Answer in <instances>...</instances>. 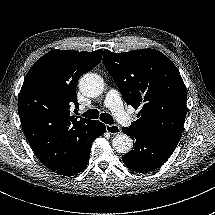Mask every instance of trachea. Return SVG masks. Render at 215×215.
Segmentation results:
<instances>
[{"label":"trachea","instance_id":"1","mask_svg":"<svg viewBox=\"0 0 215 215\" xmlns=\"http://www.w3.org/2000/svg\"><path fill=\"white\" fill-rule=\"evenodd\" d=\"M83 117L88 119H98L100 116V120L105 122L106 124H113L114 120L112 116L108 113H101L99 115V111L96 109H90L82 114Z\"/></svg>","mask_w":215,"mask_h":215}]
</instances>
